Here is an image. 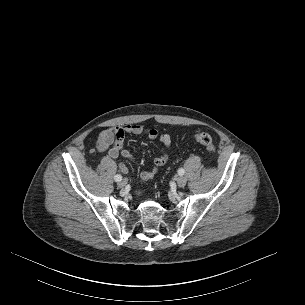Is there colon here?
Listing matches in <instances>:
<instances>
[{"mask_svg":"<svg viewBox=\"0 0 305 305\" xmlns=\"http://www.w3.org/2000/svg\"><path fill=\"white\" fill-rule=\"evenodd\" d=\"M194 138L198 143L204 145L208 151L213 152L215 150L213 139L208 133L197 132L195 133Z\"/></svg>","mask_w":305,"mask_h":305,"instance_id":"1","label":"colon"}]
</instances>
